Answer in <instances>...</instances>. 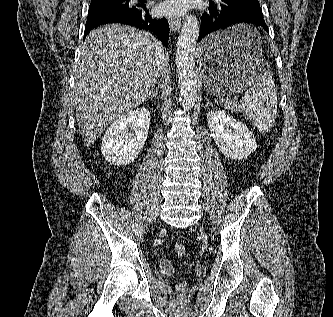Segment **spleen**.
I'll return each mask as SVG.
<instances>
[{
  "mask_svg": "<svg viewBox=\"0 0 333 317\" xmlns=\"http://www.w3.org/2000/svg\"><path fill=\"white\" fill-rule=\"evenodd\" d=\"M243 28L249 29L245 42L252 46L259 34L249 25ZM232 108L249 118L261 133H266L274 124L277 114V92L271 73H261L255 84L246 90L240 103H234Z\"/></svg>",
  "mask_w": 333,
  "mask_h": 317,
  "instance_id": "spleen-1",
  "label": "spleen"
}]
</instances>
